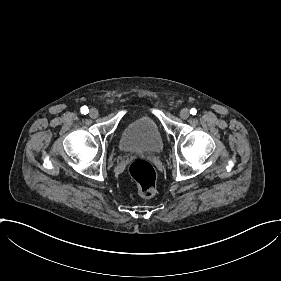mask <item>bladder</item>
<instances>
[{"label": "bladder", "instance_id": "1", "mask_svg": "<svg viewBox=\"0 0 281 281\" xmlns=\"http://www.w3.org/2000/svg\"><path fill=\"white\" fill-rule=\"evenodd\" d=\"M121 148L125 151L159 153L163 140L156 122L149 116H141L127 124L121 133Z\"/></svg>", "mask_w": 281, "mask_h": 281}]
</instances>
